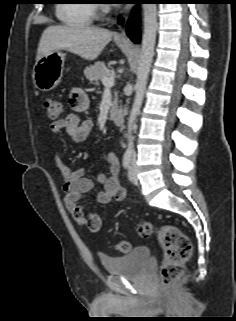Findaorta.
<instances>
[{
	"label": "aorta",
	"mask_w": 236,
	"mask_h": 321,
	"mask_svg": "<svg viewBox=\"0 0 236 321\" xmlns=\"http://www.w3.org/2000/svg\"><path fill=\"white\" fill-rule=\"evenodd\" d=\"M143 22L144 29L142 35V48L140 53V59L137 71L136 80V93L133 101L132 109L127 123V134L129 147L132 145V130L134 129V123L137 115L140 112L142 106L148 75L151 69L154 48L156 43L157 32V6L156 4H143Z\"/></svg>",
	"instance_id": "1"
}]
</instances>
